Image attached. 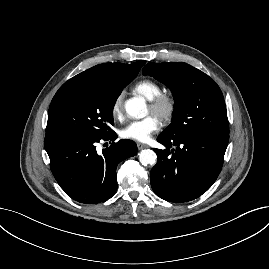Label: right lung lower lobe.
<instances>
[{"label":"right lung lower lobe","mask_w":269,"mask_h":269,"mask_svg":"<svg viewBox=\"0 0 269 269\" xmlns=\"http://www.w3.org/2000/svg\"><path fill=\"white\" fill-rule=\"evenodd\" d=\"M116 138L115 132L102 138L75 133L45 136L51 171L72 199L96 204L115 194L117 165L137 152L134 141L120 140L103 149L102 155L97 153L96 144L100 140L114 141Z\"/></svg>","instance_id":"obj_1"}]
</instances>
